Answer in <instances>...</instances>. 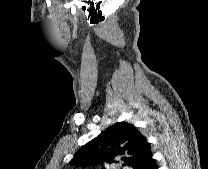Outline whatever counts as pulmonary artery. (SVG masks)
<instances>
[{
	"instance_id": "pulmonary-artery-1",
	"label": "pulmonary artery",
	"mask_w": 208,
	"mask_h": 169,
	"mask_svg": "<svg viewBox=\"0 0 208 169\" xmlns=\"http://www.w3.org/2000/svg\"><path fill=\"white\" fill-rule=\"evenodd\" d=\"M125 169H130L129 167H126Z\"/></svg>"
}]
</instances>
